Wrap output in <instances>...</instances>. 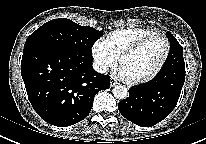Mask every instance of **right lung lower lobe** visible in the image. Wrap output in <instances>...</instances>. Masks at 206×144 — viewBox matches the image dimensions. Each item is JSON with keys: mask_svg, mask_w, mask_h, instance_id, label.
Here are the masks:
<instances>
[{"mask_svg": "<svg viewBox=\"0 0 206 144\" xmlns=\"http://www.w3.org/2000/svg\"><path fill=\"white\" fill-rule=\"evenodd\" d=\"M93 59L52 47L23 51L21 74L31 105L49 124L66 127L88 116L96 93L110 87Z\"/></svg>", "mask_w": 206, "mask_h": 144, "instance_id": "right-lung-lower-lobe-1", "label": "right lung lower lobe"}]
</instances>
